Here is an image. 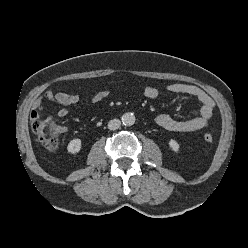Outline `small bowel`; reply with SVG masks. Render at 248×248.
Instances as JSON below:
<instances>
[{
	"instance_id": "c3829d8e",
	"label": "small bowel",
	"mask_w": 248,
	"mask_h": 248,
	"mask_svg": "<svg viewBox=\"0 0 248 248\" xmlns=\"http://www.w3.org/2000/svg\"><path fill=\"white\" fill-rule=\"evenodd\" d=\"M165 91L173 94H185L196 98L201 103L200 115L190 120H175L166 114L155 116L154 123L170 132H193L205 129L212 118L215 103L213 99L201 88L191 84L173 83L165 86ZM144 96L148 99H156L160 95V91L152 86L144 89ZM109 95L106 89L97 92L89 101L90 104H97L105 100ZM44 99L59 105L57 115L60 118L66 117L69 113V107L80 101L78 94L65 92L47 91L43 96L38 97L32 103L30 118L34 123L40 118L44 107Z\"/></svg>"
}]
</instances>
